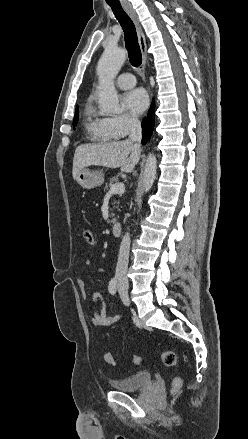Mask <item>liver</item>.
I'll return each instance as SVG.
<instances>
[{"instance_id":"obj_1","label":"liver","mask_w":248,"mask_h":439,"mask_svg":"<svg viewBox=\"0 0 248 439\" xmlns=\"http://www.w3.org/2000/svg\"><path fill=\"white\" fill-rule=\"evenodd\" d=\"M139 159L140 150L129 140L82 144L74 153L72 175L75 179L77 174L88 166L121 167V171L129 173L133 171Z\"/></svg>"}]
</instances>
